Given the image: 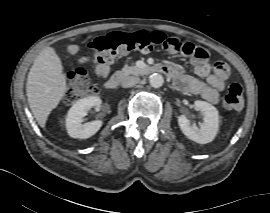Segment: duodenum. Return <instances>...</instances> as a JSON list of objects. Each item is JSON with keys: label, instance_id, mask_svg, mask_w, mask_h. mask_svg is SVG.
<instances>
[{"label": "duodenum", "instance_id": "obj_1", "mask_svg": "<svg viewBox=\"0 0 270 213\" xmlns=\"http://www.w3.org/2000/svg\"><path fill=\"white\" fill-rule=\"evenodd\" d=\"M150 72H158L161 73L169 78L172 77V73L170 72V70L164 66V65H159V66H153L149 69ZM125 72L124 71H119L116 75L112 76L111 78H109L106 83H105V89L106 90H114L116 89L121 80L125 77Z\"/></svg>", "mask_w": 270, "mask_h": 213}]
</instances>
